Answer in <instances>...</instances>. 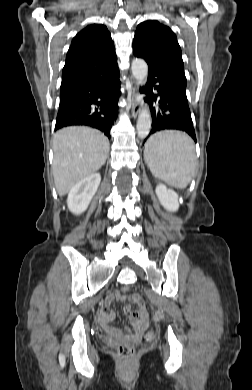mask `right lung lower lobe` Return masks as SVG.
I'll use <instances>...</instances> for the list:
<instances>
[{
  "mask_svg": "<svg viewBox=\"0 0 252 390\" xmlns=\"http://www.w3.org/2000/svg\"><path fill=\"white\" fill-rule=\"evenodd\" d=\"M120 94L119 70L116 66L102 79L84 84L60 97L55 130L71 125H87L101 130L110 138V129L118 117Z\"/></svg>",
  "mask_w": 252,
  "mask_h": 390,
  "instance_id": "1",
  "label": "right lung lower lobe"
}]
</instances>
